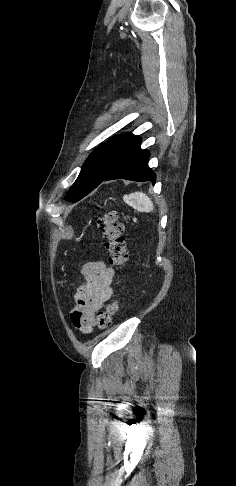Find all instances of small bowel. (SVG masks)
Returning a JSON list of instances; mask_svg holds the SVG:
<instances>
[{
    "mask_svg": "<svg viewBox=\"0 0 236 486\" xmlns=\"http://www.w3.org/2000/svg\"><path fill=\"white\" fill-rule=\"evenodd\" d=\"M84 280L74 296L70 319L75 328L89 333L96 322V314L107 304L113 294L114 270L103 261L89 262L83 266Z\"/></svg>",
    "mask_w": 236,
    "mask_h": 486,
    "instance_id": "obj_1",
    "label": "small bowel"
}]
</instances>
